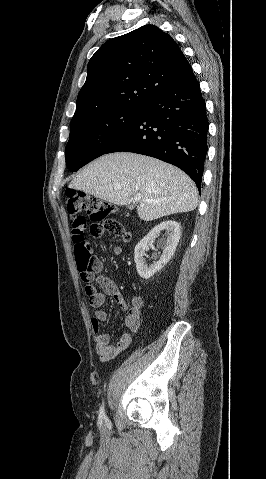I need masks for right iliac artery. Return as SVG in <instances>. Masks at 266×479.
Here are the masks:
<instances>
[{
	"instance_id": "obj_1",
	"label": "right iliac artery",
	"mask_w": 266,
	"mask_h": 479,
	"mask_svg": "<svg viewBox=\"0 0 266 479\" xmlns=\"http://www.w3.org/2000/svg\"><path fill=\"white\" fill-rule=\"evenodd\" d=\"M106 418V415H105V412H104V405H102L100 407V410H99V416H98V420H99V423L102 424V421Z\"/></svg>"
}]
</instances>
